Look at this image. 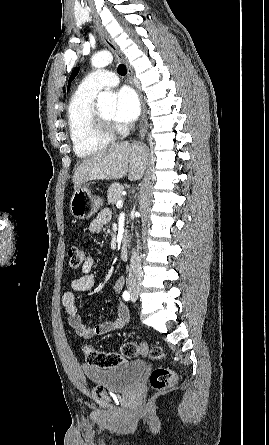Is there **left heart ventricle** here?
<instances>
[{
  "label": "left heart ventricle",
  "mask_w": 269,
  "mask_h": 445,
  "mask_svg": "<svg viewBox=\"0 0 269 445\" xmlns=\"http://www.w3.org/2000/svg\"><path fill=\"white\" fill-rule=\"evenodd\" d=\"M100 113H101L104 117H106V118H108V119H113V117H114V113H115V109H114L113 107H111V108H107V109H103V110H100Z\"/></svg>",
  "instance_id": "obj_1"
}]
</instances>
